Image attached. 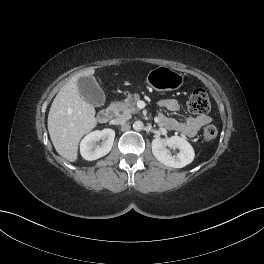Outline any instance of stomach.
Returning <instances> with one entry per match:
<instances>
[{"label": "stomach", "instance_id": "stomach-1", "mask_svg": "<svg viewBox=\"0 0 264 264\" xmlns=\"http://www.w3.org/2000/svg\"><path fill=\"white\" fill-rule=\"evenodd\" d=\"M146 82L156 91H172L183 85L184 76L169 67L159 66L147 74Z\"/></svg>", "mask_w": 264, "mask_h": 264}]
</instances>
